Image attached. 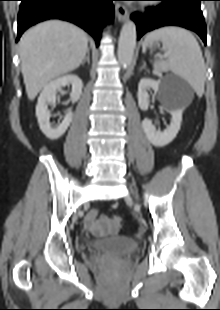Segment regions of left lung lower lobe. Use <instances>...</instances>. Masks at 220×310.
I'll list each match as a JSON object with an SVG mask.
<instances>
[{
  "mask_svg": "<svg viewBox=\"0 0 220 310\" xmlns=\"http://www.w3.org/2000/svg\"><path fill=\"white\" fill-rule=\"evenodd\" d=\"M152 1L161 3L156 7H148L144 15L134 13L131 16L137 25L138 39L163 26H180L196 32L206 44V25L200 9V2L203 0Z\"/></svg>",
  "mask_w": 220,
  "mask_h": 310,
  "instance_id": "obj_1",
  "label": "left lung lower lobe"
}]
</instances>
